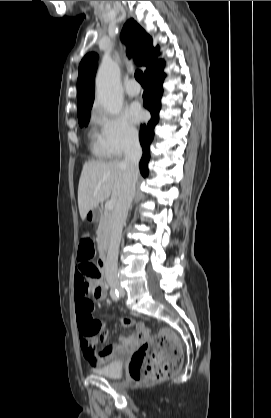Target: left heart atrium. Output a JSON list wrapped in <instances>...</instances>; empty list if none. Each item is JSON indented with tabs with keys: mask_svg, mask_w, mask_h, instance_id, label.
I'll return each instance as SVG.
<instances>
[{
	"mask_svg": "<svg viewBox=\"0 0 271 418\" xmlns=\"http://www.w3.org/2000/svg\"><path fill=\"white\" fill-rule=\"evenodd\" d=\"M130 116L134 122H139L143 117V112L139 106L133 105L130 108Z\"/></svg>",
	"mask_w": 271,
	"mask_h": 418,
	"instance_id": "39dd6f15",
	"label": "left heart atrium"
}]
</instances>
